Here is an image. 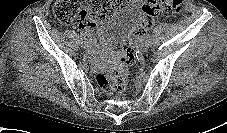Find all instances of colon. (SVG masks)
Returning a JSON list of instances; mask_svg holds the SVG:
<instances>
[{
  "instance_id": "5ec220e1",
  "label": "colon",
  "mask_w": 227,
  "mask_h": 133,
  "mask_svg": "<svg viewBox=\"0 0 227 133\" xmlns=\"http://www.w3.org/2000/svg\"><path fill=\"white\" fill-rule=\"evenodd\" d=\"M127 0H56L53 13L62 24L68 25L77 20L91 24L106 20L111 14L122 8ZM184 8L183 0H146L142 6V18L136 33L141 34L152 27L161 17L179 14ZM136 61V46L131 39L124 42L120 65L108 73H97L95 81L107 94L122 92L128 85L130 66Z\"/></svg>"
}]
</instances>
